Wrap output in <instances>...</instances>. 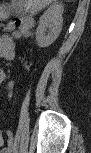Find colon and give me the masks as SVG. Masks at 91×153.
I'll use <instances>...</instances> for the list:
<instances>
[{"label": "colon", "instance_id": "colon-1", "mask_svg": "<svg viewBox=\"0 0 91 153\" xmlns=\"http://www.w3.org/2000/svg\"><path fill=\"white\" fill-rule=\"evenodd\" d=\"M32 25H33V20L30 17H27V18H24L21 20H17V23H16V27L19 30L20 29L21 30H29L32 27ZM10 28L15 30V25L11 24ZM10 28H9V30H10ZM10 31H12V30H10ZM13 37H14L13 34H7V35L2 36L0 39L1 45L2 46H4V45L9 46L12 43Z\"/></svg>", "mask_w": 91, "mask_h": 153}]
</instances>
